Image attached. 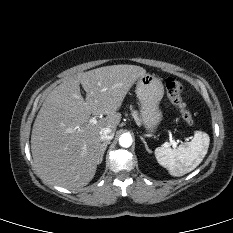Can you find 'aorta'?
Listing matches in <instances>:
<instances>
[{
	"label": "aorta",
	"instance_id": "obj_1",
	"mask_svg": "<svg viewBox=\"0 0 233 233\" xmlns=\"http://www.w3.org/2000/svg\"><path fill=\"white\" fill-rule=\"evenodd\" d=\"M132 137L129 134H122L119 138V144L121 147L128 148L132 145Z\"/></svg>",
	"mask_w": 233,
	"mask_h": 233
}]
</instances>
